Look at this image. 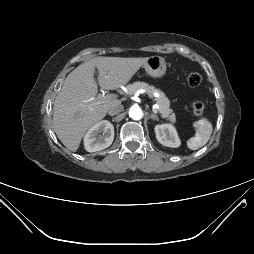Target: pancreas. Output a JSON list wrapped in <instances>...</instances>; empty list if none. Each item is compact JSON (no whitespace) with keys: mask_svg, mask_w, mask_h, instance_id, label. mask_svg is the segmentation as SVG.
Wrapping results in <instances>:
<instances>
[{"mask_svg":"<svg viewBox=\"0 0 254 254\" xmlns=\"http://www.w3.org/2000/svg\"><path fill=\"white\" fill-rule=\"evenodd\" d=\"M126 88L129 94H134L140 89L145 90L150 97H153L155 93H158L159 96L154 99L159 106L157 111L160 113L162 118H166L171 123L176 121L175 114L170 108V101L161 90L156 89L154 86H150L145 82H135L127 85Z\"/></svg>","mask_w":254,"mask_h":254,"instance_id":"1","label":"pancreas"}]
</instances>
